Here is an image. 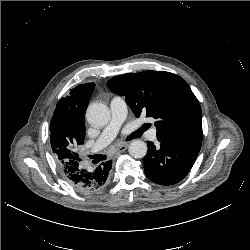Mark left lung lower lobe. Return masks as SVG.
Segmentation results:
<instances>
[{
    "label": "left lung lower lobe",
    "instance_id": "left-lung-lower-lobe-1",
    "mask_svg": "<svg viewBox=\"0 0 250 250\" xmlns=\"http://www.w3.org/2000/svg\"><path fill=\"white\" fill-rule=\"evenodd\" d=\"M159 145L148 142L143 158L144 171L149 180L160 185L180 182L192 168L201 146L158 139Z\"/></svg>",
    "mask_w": 250,
    "mask_h": 250
}]
</instances>
